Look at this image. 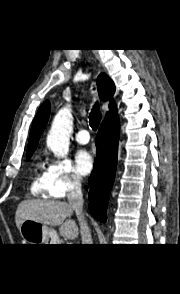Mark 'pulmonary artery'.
Wrapping results in <instances>:
<instances>
[{"label":"pulmonary artery","instance_id":"e3ab8cb5","mask_svg":"<svg viewBox=\"0 0 180 294\" xmlns=\"http://www.w3.org/2000/svg\"><path fill=\"white\" fill-rule=\"evenodd\" d=\"M75 139L79 144H87L90 141L89 132L87 130H80L76 134Z\"/></svg>","mask_w":180,"mask_h":294}]
</instances>
